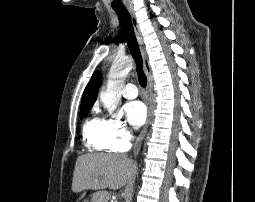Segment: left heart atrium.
I'll list each match as a JSON object with an SVG mask.
<instances>
[{
  "mask_svg": "<svg viewBox=\"0 0 255 202\" xmlns=\"http://www.w3.org/2000/svg\"><path fill=\"white\" fill-rule=\"evenodd\" d=\"M129 123L135 127H140L146 119V108L140 101L128 102L124 107Z\"/></svg>",
  "mask_w": 255,
  "mask_h": 202,
  "instance_id": "1",
  "label": "left heart atrium"
}]
</instances>
